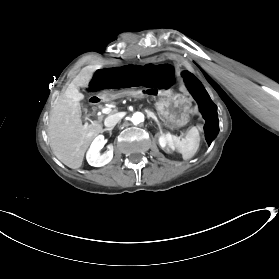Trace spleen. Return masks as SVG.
Listing matches in <instances>:
<instances>
[{
  "label": "spleen",
  "instance_id": "3e777b00",
  "mask_svg": "<svg viewBox=\"0 0 279 279\" xmlns=\"http://www.w3.org/2000/svg\"><path fill=\"white\" fill-rule=\"evenodd\" d=\"M199 144V132L192 128L183 139L172 137V145L176 152L182 155L184 160L191 159L197 151Z\"/></svg>",
  "mask_w": 279,
  "mask_h": 279
}]
</instances>
